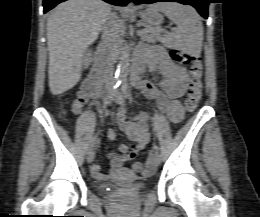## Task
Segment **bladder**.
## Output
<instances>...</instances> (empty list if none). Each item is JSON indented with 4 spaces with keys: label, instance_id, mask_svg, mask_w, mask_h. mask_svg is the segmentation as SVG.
<instances>
[{
    "label": "bladder",
    "instance_id": "31cf9c89",
    "mask_svg": "<svg viewBox=\"0 0 260 217\" xmlns=\"http://www.w3.org/2000/svg\"><path fill=\"white\" fill-rule=\"evenodd\" d=\"M138 175L128 168L118 169L109 181L114 185L126 186L133 195H140L146 190V184L137 183ZM104 189V186H101Z\"/></svg>",
    "mask_w": 260,
    "mask_h": 217
}]
</instances>
